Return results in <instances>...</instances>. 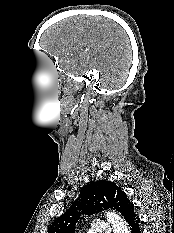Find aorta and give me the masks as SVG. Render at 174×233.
Wrapping results in <instances>:
<instances>
[{"mask_svg":"<svg viewBox=\"0 0 174 233\" xmlns=\"http://www.w3.org/2000/svg\"><path fill=\"white\" fill-rule=\"evenodd\" d=\"M106 216L114 233H130L126 222L117 213L110 211L106 213Z\"/></svg>","mask_w":174,"mask_h":233,"instance_id":"obj_1","label":"aorta"}]
</instances>
